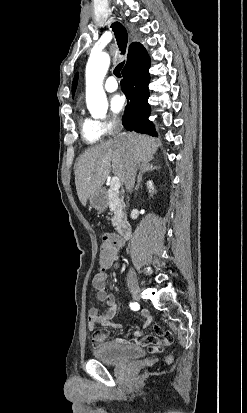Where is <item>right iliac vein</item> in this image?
<instances>
[{"instance_id":"right-iliac-vein-1","label":"right iliac vein","mask_w":247,"mask_h":413,"mask_svg":"<svg viewBox=\"0 0 247 413\" xmlns=\"http://www.w3.org/2000/svg\"><path fill=\"white\" fill-rule=\"evenodd\" d=\"M130 292L135 301L140 300V288L137 284H134L130 287Z\"/></svg>"}]
</instances>
